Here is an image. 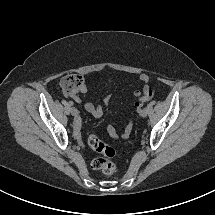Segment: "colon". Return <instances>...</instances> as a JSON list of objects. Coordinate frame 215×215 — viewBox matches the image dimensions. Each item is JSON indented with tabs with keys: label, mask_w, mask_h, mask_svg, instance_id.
Listing matches in <instances>:
<instances>
[{
	"label": "colon",
	"mask_w": 215,
	"mask_h": 215,
	"mask_svg": "<svg viewBox=\"0 0 215 215\" xmlns=\"http://www.w3.org/2000/svg\"><path fill=\"white\" fill-rule=\"evenodd\" d=\"M83 86V77L75 73L67 74L61 80V88L68 96L77 95L82 91ZM154 96L155 89L150 86H145L142 92H136V106L140 107L144 101L150 100ZM87 142L92 149L100 154V156L92 161V167L106 175L115 174L117 167L111 160L116 155L115 150L91 133L88 135Z\"/></svg>",
	"instance_id": "obj_1"
}]
</instances>
